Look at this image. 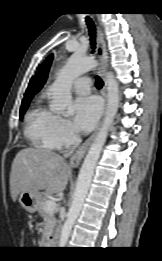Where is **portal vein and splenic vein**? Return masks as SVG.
I'll list each match as a JSON object with an SVG mask.
<instances>
[{
    "instance_id": "portal-vein-and-splenic-vein-1",
    "label": "portal vein and splenic vein",
    "mask_w": 162,
    "mask_h": 261,
    "mask_svg": "<svg viewBox=\"0 0 162 261\" xmlns=\"http://www.w3.org/2000/svg\"><path fill=\"white\" fill-rule=\"evenodd\" d=\"M56 209V202L54 200H48L45 204V210L47 212H54Z\"/></svg>"
}]
</instances>
